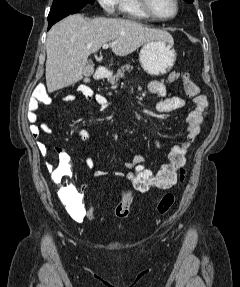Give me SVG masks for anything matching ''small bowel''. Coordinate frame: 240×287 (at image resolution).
<instances>
[{
  "label": "small bowel",
  "mask_w": 240,
  "mask_h": 287,
  "mask_svg": "<svg viewBox=\"0 0 240 287\" xmlns=\"http://www.w3.org/2000/svg\"><path fill=\"white\" fill-rule=\"evenodd\" d=\"M148 90L159 96L161 99L156 104L155 108L158 113L167 114L181 109L186 101L181 96H167L166 87L163 83L158 81H151L148 83ZM79 91L85 96L87 100L94 99L97 103L100 110H107L110 106V102L101 94H94L93 91L87 86H80ZM76 99L75 95L67 94L63 96L62 100L64 102H73ZM193 109L189 112L188 116L185 119V132L187 134V141L182 144L183 148L188 149L191 143L198 136L201 127L203 126L206 118L210 113L208 107V100L205 95H198L192 99ZM38 109V100L36 98H31L28 104L27 118L30 123L31 134L37 140L39 151L42 155L48 153L47 145L39 139L40 132L45 134H51L53 132L52 126L49 123H42L40 126L35 125L37 121V111ZM80 138L87 144H90V138L87 132L84 130L77 131ZM156 146H161L162 142L155 140ZM59 159L70 161V158L63 148H56ZM86 166L94 170L95 161L91 151H88L85 158ZM140 163H145V157L141 154L132 155L125 163L124 166L132 170L136 165ZM107 174L105 170H94L95 177H102ZM113 175L115 177L130 179V172L125 171H114ZM85 188V185H83ZM84 190V189H81ZM61 200L65 206L67 212L73 220L76 222H82L86 217V207L83 202L82 194L75 188H67L61 194Z\"/></svg>",
  "instance_id": "1"
}]
</instances>
